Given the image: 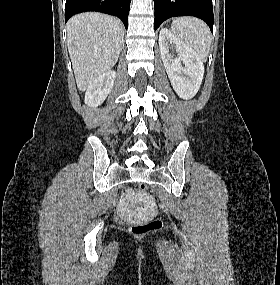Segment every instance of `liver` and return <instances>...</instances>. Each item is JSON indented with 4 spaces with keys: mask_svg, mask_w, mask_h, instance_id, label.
<instances>
[{
    "mask_svg": "<svg viewBox=\"0 0 280 285\" xmlns=\"http://www.w3.org/2000/svg\"><path fill=\"white\" fill-rule=\"evenodd\" d=\"M123 37V25L109 15L82 13L68 21V51L80 91L116 64Z\"/></svg>",
    "mask_w": 280,
    "mask_h": 285,
    "instance_id": "6515ba94",
    "label": "liver"
}]
</instances>
